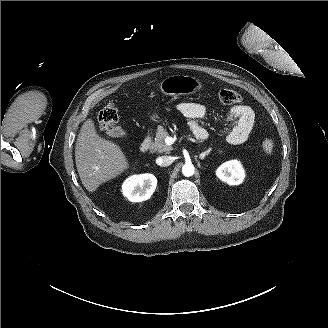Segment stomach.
<instances>
[{
    "instance_id": "obj_1",
    "label": "stomach",
    "mask_w": 328,
    "mask_h": 328,
    "mask_svg": "<svg viewBox=\"0 0 328 328\" xmlns=\"http://www.w3.org/2000/svg\"><path fill=\"white\" fill-rule=\"evenodd\" d=\"M159 89L161 94L166 97L189 96L202 91L204 84L194 76L170 75L160 82ZM149 118L152 122H156L159 120L160 115L153 112L149 114Z\"/></svg>"
}]
</instances>
